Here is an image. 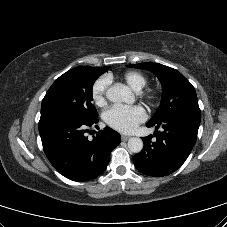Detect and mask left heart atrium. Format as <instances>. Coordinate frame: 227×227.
<instances>
[{
  "label": "left heart atrium",
  "instance_id": "obj_1",
  "mask_svg": "<svg viewBox=\"0 0 227 227\" xmlns=\"http://www.w3.org/2000/svg\"><path fill=\"white\" fill-rule=\"evenodd\" d=\"M104 121L113 129L131 133L136 127L145 121L146 112L140 106L115 105L107 109L103 114Z\"/></svg>",
  "mask_w": 227,
  "mask_h": 227
}]
</instances>
